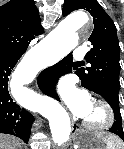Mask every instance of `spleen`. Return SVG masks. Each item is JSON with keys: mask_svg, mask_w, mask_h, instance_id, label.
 <instances>
[{"mask_svg": "<svg viewBox=\"0 0 124 149\" xmlns=\"http://www.w3.org/2000/svg\"><path fill=\"white\" fill-rule=\"evenodd\" d=\"M106 142H107V149H116L117 145L119 144L118 139L115 137L113 141L106 139Z\"/></svg>", "mask_w": 124, "mask_h": 149, "instance_id": "1", "label": "spleen"}]
</instances>
